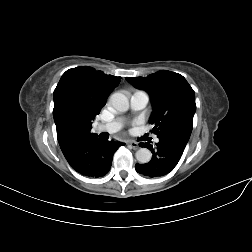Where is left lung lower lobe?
I'll list each match as a JSON object with an SVG mask.
<instances>
[{
  "label": "left lung lower lobe",
  "mask_w": 252,
  "mask_h": 252,
  "mask_svg": "<svg viewBox=\"0 0 252 252\" xmlns=\"http://www.w3.org/2000/svg\"><path fill=\"white\" fill-rule=\"evenodd\" d=\"M159 142L153 147L149 143L140 144L141 147L148 148L153 156L150 162L136 164L138 173L146 177H161L170 173L178 164L188 140L175 136H160Z\"/></svg>",
  "instance_id": "0a47b994"
}]
</instances>
